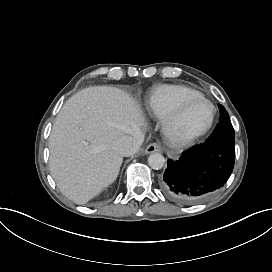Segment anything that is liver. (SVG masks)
I'll return each instance as SVG.
<instances>
[{"label":"liver","mask_w":272,"mask_h":272,"mask_svg":"<svg viewBox=\"0 0 272 272\" xmlns=\"http://www.w3.org/2000/svg\"><path fill=\"white\" fill-rule=\"evenodd\" d=\"M137 104L108 86L83 89L62 107L49 138L50 171L60 191L86 204L112 185L123 156L114 146L139 130Z\"/></svg>","instance_id":"liver-1"}]
</instances>
